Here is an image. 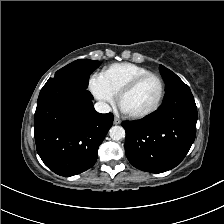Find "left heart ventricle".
Segmentation results:
<instances>
[{
  "label": "left heart ventricle",
  "mask_w": 224,
  "mask_h": 224,
  "mask_svg": "<svg viewBox=\"0 0 224 224\" xmlns=\"http://www.w3.org/2000/svg\"><path fill=\"white\" fill-rule=\"evenodd\" d=\"M159 91L158 81L155 78H148L122 98L121 108L127 113L145 111L154 105Z\"/></svg>",
  "instance_id": "obj_1"
}]
</instances>
